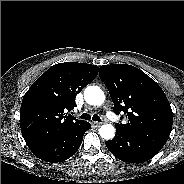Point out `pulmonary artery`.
Returning <instances> with one entry per match:
<instances>
[{"mask_svg":"<svg viewBox=\"0 0 184 184\" xmlns=\"http://www.w3.org/2000/svg\"><path fill=\"white\" fill-rule=\"evenodd\" d=\"M106 115L109 119L116 121L117 120V116L109 109H106Z\"/></svg>","mask_w":184,"mask_h":184,"instance_id":"1","label":"pulmonary artery"}]
</instances>
